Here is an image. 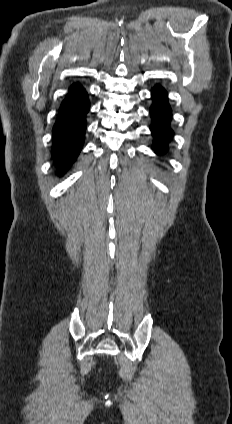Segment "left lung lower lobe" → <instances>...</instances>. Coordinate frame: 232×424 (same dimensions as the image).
I'll return each instance as SVG.
<instances>
[{
  "mask_svg": "<svg viewBox=\"0 0 232 424\" xmlns=\"http://www.w3.org/2000/svg\"><path fill=\"white\" fill-rule=\"evenodd\" d=\"M153 105L150 109L152 117L151 131L154 137V149L156 153L163 154L167 151V143L173 136L169 128L171 110L167 102V93L159 85L152 90Z\"/></svg>",
  "mask_w": 232,
  "mask_h": 424,
  "instance_id": "0a47b994",
  "label": "left lung lower lobe"
}]
</instances>
